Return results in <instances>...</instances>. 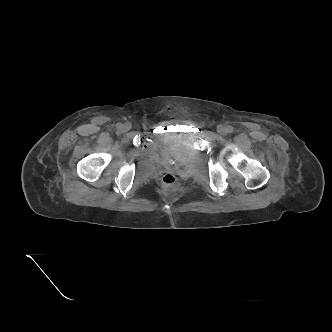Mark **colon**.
I'll return each instance as SVG.
<instances>
[{"instance_id":"obj_1","label":"colon","mask_w":332,"mask_h":332,"mask_svg":"<svg viewBox=\"0 0 332 332\" xmlns=\"http://www.w3.org/2000/svg\"><path fill=\"white\" fill-rule=\"evenodd\" d=\"M162 187L168 193H175L179 189V182L175 175L165 174L162 177Z\"/></svg>"}]
</instances>
